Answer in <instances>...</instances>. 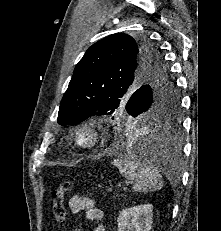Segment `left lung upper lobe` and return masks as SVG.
Masks as SVG:
<instances>
[{
  "label": "left lung upper lobe",
  "mask_w": 221,
  "mask_h": 231,
  "mask_svg": "<svg viewBox=\"0 0 221 231\" xmlns=\"http://www.w3.org/2000/svg\"><path fill=\"white\" fill-rule=\"evenodd\" d=\"M123 106L159 124L179 121L178 93L161 50L146 38L116 33L89 47L75 67L58 124L76 125L94 115L113 119Z\"/></svg>",
  "instance_id": "1"
}]
</instances>
